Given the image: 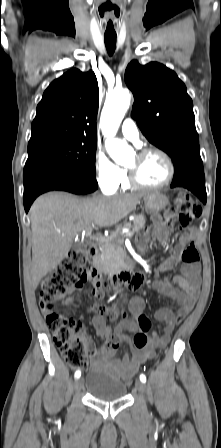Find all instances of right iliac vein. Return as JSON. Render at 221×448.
Listing matches in <instances>:
<instances>
[{
  "label": "right iliac vein",
  "instance_id": "obj_1",
  "mask_svg": "<svg viewBox=\"0 0 221 448\" xmlns=\"http://www.w3.org/2000/svg\"><path fill=\"white\" fill-rule=\"evenodd\" d=\"M82 387H83V379L82 378H78L75 381V390L79 391V390H81Z\"/></svg>",
  "mask_w": 221,
  "mask_h": 448
}]
</instances>
